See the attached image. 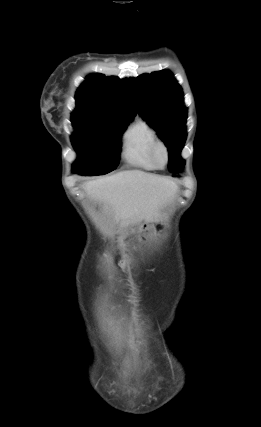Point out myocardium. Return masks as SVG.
I'll return each instance as SVG.
<instances>
[{"label": "myocardium", "instance_id": "obj_1", "mask_svg": "<svg viewBox=\"0 0 261 427\" xmlns=\"http://www.w3.org/2000/svg\"><path fill=\"white\" fill-rule=\"evenodd\" d=\"M151 156L157 169H164L170 160L169 149L167 145L161 140H158L153 145ZM161 156H163V161L160 160Z\"/></svg>", "mask_w": 261, "mask_h": 427}]
</instances>
